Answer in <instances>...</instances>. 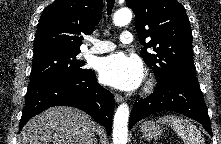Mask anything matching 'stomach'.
Listing matches in <instances>:
<instances>
[{
  "label": "stomach",
  "instance_id": "0dacf381",
  "mask_svg": "<svg viewBox=\"0 0 221 144\" xmlns=\"http://www.w3.org/2000/svg\"><path fill=\"white\" fill-rule=\"evenodd\" d=\"M143 137L147 139H156L161 136L162 129L154 121H145L140 126Z\"/></svg>",
  "mask_w": 221,
  "mask_h": 144
}]
</instances>
